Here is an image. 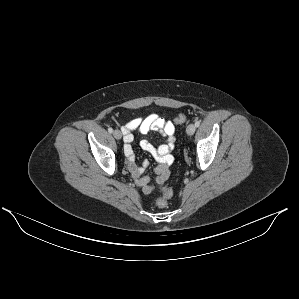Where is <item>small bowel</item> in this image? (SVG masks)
I'll return each instance as SVG.
<instances>
[{"instance_id":"1","label":"small bowel","mask_w":299,"mask_h":299,"mask_svg":"<svg viewBox=\"0 0 299 299\" xmlns=\"http://www.w3.org/2000/svg\"><path fill=\"white\" fill-rule=\"evenodd\" d=\"M151 131L159 132L165 139V143L154 146L147 140H141L140 147L149 153L158 162L154 169L155 183L162 185L170 175V166L174 161L172 151L175 147V126L171 121H167L157 114H150L146 117H138L128 121L122 128L124 135V153L127 157V166L135 182L142 188L145 194H151L154 191V185L151 178L144 176L146 168L149 166L147 160H144L141 166L135 163V154L131 143L134 140V132L147 134Z\"/></svg>"}]
</instances>
